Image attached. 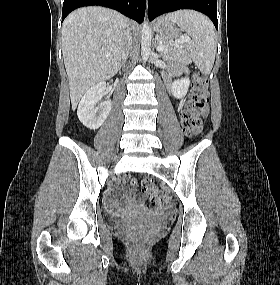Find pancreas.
Returning <instances> with one entry per match:
<instances>
[{"mask_svg":"<svg viewBox=\"0 0 280 285\" xmlns=\"http://www.w3.org/2000/svg\"><path fill=\"white\" fill-rule=\"evenodd\" d=\"M172 41L159 38V44L166 48L161 51L162 57L167 60L178 61L184 64L190 63L189 53L183 47H176L172 45Z\"/></svg>","mask_w":280,"mask_h":285,"instance_id":"cf45deb5","label":"pancreas"}]
</instances>
